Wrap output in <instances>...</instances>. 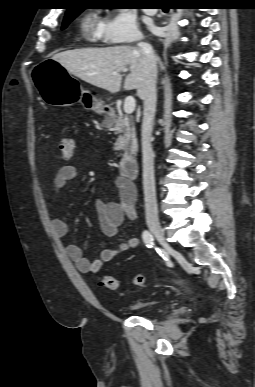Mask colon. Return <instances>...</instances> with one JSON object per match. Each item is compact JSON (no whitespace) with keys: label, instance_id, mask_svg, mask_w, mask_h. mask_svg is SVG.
I'll list each match as a JSON object with an SVG mask.
<instances>
[{"label":"colon","instance_id":"colon-1","mask_svg":"<svg viewBox=\"0 0 255 387\" xmlns=\"http://www.w3.org/2000/svg\"><path fill=\"white\" fill-rule=\"evenodd\" d=\"M58 149L61 157L70 158L74 154V141L68 136H61L58 141ZM132 283L136 287H141L145 283V277L142 274L134 276ZM100 285L108 290L114 291L118 288V281L114 276L104 275L100 279Z\"/></svg>","mask_w":255,"mask_h":387}]
</instances>
